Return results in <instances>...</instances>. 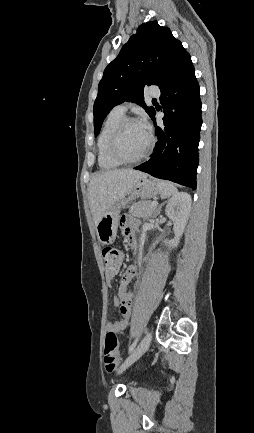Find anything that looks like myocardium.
Returning <instances> with one entry per match:
<instances>
[{"label":"myocardium","instance_id":"f54148a6","mask_svg":"<svg viewBox=\"0 0 254 433\" xmlns=\"http://www.w3.org/2000/svg\"><path fill=\"white\" fill-rule=\"evenodd\" d=\"M131 122H137V120L133 117H124L115 127L109 140V145H108L109 155L119 164H133L143 160L149 154L154 144V138L152 137L151 134L148 133V144L146 148L143 150V152L135 158L130 159L124 157L119 151L118 143L124 127Z\"/></svg>","mask_w":254,"mask_h":433}]
</instances>
